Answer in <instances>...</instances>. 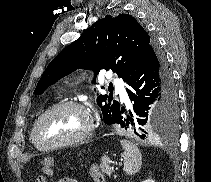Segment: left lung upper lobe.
<instances>
[{
	"mask_svg": "<svg viewBox=\"0 0 211 182\" xmlns=\"http://www.w3.org/2000/svg\"><path fill=\"white\" fill-rule=\"evenodd\" d=\"M153 40L137 20L128 14L113 18L107 15L84 31L79 39L63 49L47 66L39 80L34 94L43 93L50 85L76 69H90L95 75L101 69L116 72L124 82L136 72L141 60ZM96 82V79L93 80ZM104 122L117 123L120 104L112 102L108 95H99ZM174 127L154 128L155 133L165 129L173 132Z\"/></svg>",
	"mask_w": 211,
	"mask_h": 182,
	"instance_id": "1",
	"label": "left lung upper lobe"
}]
</instances>
